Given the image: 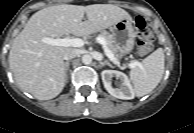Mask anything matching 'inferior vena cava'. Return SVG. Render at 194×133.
I'll list each match as a JSON object with an SVG mask.
<instances>
[{
	"mask_svg": "<svg viewBox=\"0 0 194 133\" xmlns=\"http://www.w3.org/2000/svg\"><path fill=\"white\" fill-rule=\"evenodd\" d=\"M79 54V51L78 49H75V48H68L64 55H63V59L64 60H70V59H73L75 58L76 56H78Z\"/></svg>",
	"mask_w": 194,
	"mask_h": 133,
	"instance_id": "1",
	"label": "inferior vena cava"
}]
</instances>
